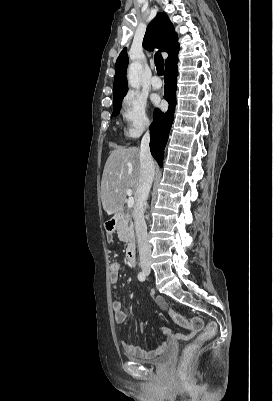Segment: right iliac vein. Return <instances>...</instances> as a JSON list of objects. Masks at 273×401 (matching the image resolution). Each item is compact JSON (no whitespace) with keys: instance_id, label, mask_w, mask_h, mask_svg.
I'll return each instance as SVG.
<instances>
[{"instance_id":"1","label":"right iliac vein","mask_w":273,"mask_h":401,"mask_svg":"<svg viewBox=\"0 0 273 401\" xmlns=\"http://www.w3.org/2000/svg\"><path fill=\"white\" fill-rule=\"evenodd\" d=\"M141 268H142V270L146 273L150 268H149V264H143L142 266H141Z\"/></svg>"}]
</instances>
